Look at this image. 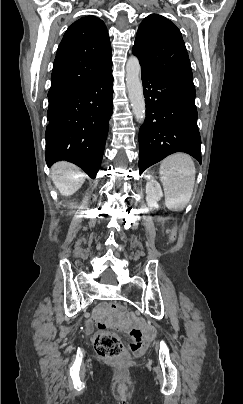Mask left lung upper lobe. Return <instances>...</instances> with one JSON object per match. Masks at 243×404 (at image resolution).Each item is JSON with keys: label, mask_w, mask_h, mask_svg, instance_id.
<instances>
[{"label": "left lung upper lobe", "mask_w": 243, "mask_h": 404, "mask_svg": "<svg viewBox=\"0 0 243 404\" xmlns=\"http://www.w3.org/2000/svg\"><path fill=\"white\" fill-rule=\"evenodd\" d=\"M132 51L143 70L193 81L181 32L161 15L151 14L142 21Z\"/></svg>", "instance_id": "obj_1"}]
</instances>
